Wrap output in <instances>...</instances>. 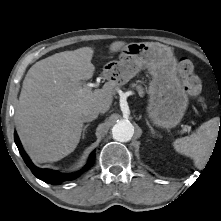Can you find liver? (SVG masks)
<instances>
[{
	"mask_svg": "<svg viewBox=\"0 0 221 221\" xmlns=\"http://www.w3.org/2000/svg\"><path fill=\"white\" fill-rule=\"evenodd\" d=\"M126 46L113 42L110 52ZM94 50L82 47L56 53L36 62L27 72L18 104L15 123L20 140L29 156L38 163L56 162L77 147L82 130L81 112L98 107L110 109L118 83L110 80L94 91L82 86L93 77Z\"/></svg>",
	"mask_w": 221,
	"mask_h": 221,
	"instance_id": "obj_1",
	"label": "liver"
}]
</instances>
